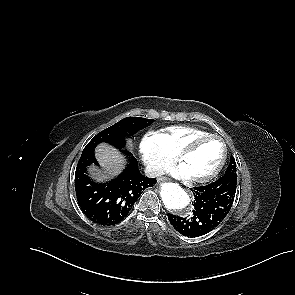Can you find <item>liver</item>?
Returning <instances> with one entry per match:
<instances>
[{
	"instance_id": "1",
	"label": "liver",
	"mask_w": 295,
	"mask_h": 295,
	"mask_svg": "<svg viewBox=\"0 0 295 295\" xmlns=\"http://www.w3.org/2000/svg\"><path fill=\"white\" fill-rule=\"evenodd\" d=\"M129 147H132L131 141L128 142ZM95 155L100 165L104 168V173L111 176L118 174L124 167V159L119 154V152L108 145L107 143L99 144L95 149ZM90 173L98 181L106 178L105 174L96 170L95 168H90Z\"/></svg>"
}]
</instances>
